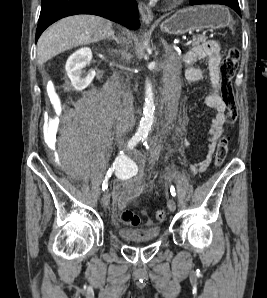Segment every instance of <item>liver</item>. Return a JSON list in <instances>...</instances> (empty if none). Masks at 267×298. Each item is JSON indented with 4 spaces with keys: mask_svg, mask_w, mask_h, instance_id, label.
Masks as SVG:
<instances>
[{
    "mask_svg": "<svg viewBox=\"0 0 267 298\" xmlns=\"http://www.w3.org/2000/svg\"><path fill=\"white\" fill-rule=\"evenodd\" d=\"M112 23L94 15H76L61 19L40 36L37 60L43 65L52 57L73 47L96 43L113 34Z\"/></svg>",
    "mask_w": 267,
    "mask_h": 298,
    "instance_id": "obj_1",
    "label": "liver"
}]
</instances>
